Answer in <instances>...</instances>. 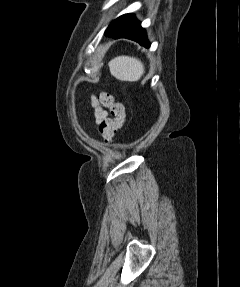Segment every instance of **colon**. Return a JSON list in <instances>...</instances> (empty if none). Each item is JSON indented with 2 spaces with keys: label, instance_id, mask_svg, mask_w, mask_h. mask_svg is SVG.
Instances as JSON below:
<instances>
[{
  "label": "colon",
  "instance_id": "colon-1",
  "mask_svg": "<svg viewBox=\"0 0 240 287\" xmlns=\"http://www.w3.org/2000/svg\"><path fill=\"white\" fill-rule=\"evenodd\" d=\"M97 98L99 103L110 111L111 117L107 118L99 127L104 141L110 143L124 123L125 106L123 103L116 101L114 95L110 92H100Z\"/></svg>",
  "mask_w": 240,
  "mask_h": 287
}]
</instances>
